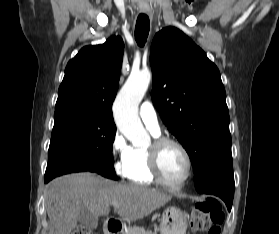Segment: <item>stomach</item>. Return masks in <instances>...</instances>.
I'll list each match as a JSON object with an SVG mask.
<instances>
[{
  "label": "stomach",
  "instance_id": "0dacf381",
  "mask_svg": "<svg viewBox=\"0 0 279 234\" xmlns=\"http://www.w3.org/2000/svg\"><path fill=\"white\" fill-rule=\"evenodd\" d=\"M188 215L176 207L167 208L161 217V234H186Z\"/></svg>",
  "mask_w": 279,
  "mask_h": 234
}]
</instances>
